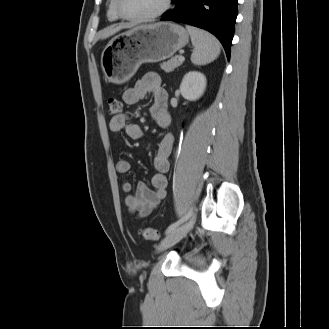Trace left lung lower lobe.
Wrapping results in <instances>:
<instances>
[{"mask_svg": "<svg viewBox=\"0 0 329 329\" xmlns=\"http://www.w3.org/2000/svg\"><path fill=\"white\" fill-rule=\"evenodd\" d=\"M176 7L163 21L182 22L211 32L222 43L227 58L237 17L238 0H173Z\"/></svg>", "mask_w": 329, "mask_h": 329, "instance_id": "obj_1", "label": "left lung lower lobe"}]
</instances>
